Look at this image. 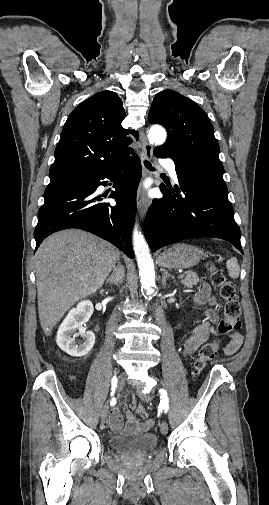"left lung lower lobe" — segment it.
Here are the masks:
<instances>
[{
  "mask_svg": "<svg viewBox=\"0 0 269 505\" xmlns=\"http://www.w3.org/2000/svg\"><path fill=\"white\" fill-rule=\"evenodd\" d=\"M175 169L179 185L168 189L161 184L164 198L153 200L145 219L152 252L192 237H215L243 253L223 172L194 161L175 163Z\"/></svg>",
  "mask_w": 269,
  "mask_h": 505,
  "instance_id": "1",
  "label": "left lung lower lobe"
}]
</instances>
